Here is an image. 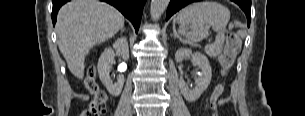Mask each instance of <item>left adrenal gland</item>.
<instances>
[{
  "mask_svg": "<svg viewBox=\"0 0 305 116\" xmlns=\"http://www.w3.org/2000/svg\"><path fill=\"white\" fill-rule=\"evenodd\" d=\"M174 37H178L176 34H174Z\"/></svg>",
  "mask_w": 305,
  "mask_h": 116,
  "instance_id": "obj_1",
  "label": "left adrenal gland"
}]
</instances>
